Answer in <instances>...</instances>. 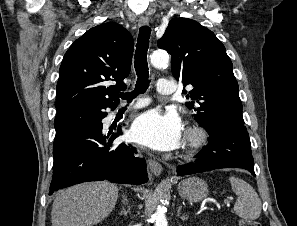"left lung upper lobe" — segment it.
Masks as SVG:
<instances>
[{"label": "left lung upper lobe", "mask_w": 297, "mask_h": 226, "mask_svg": "<svg viewBox=\"0 0 297 226\" xmlns=\"http://www.w3.org/2000/svg\"><path fill=\"white\" fill-rule=\"evenodd\" d=\"M157 45L172 55V74L193 89L186 106L205 129L218 123L244 126L233 65L215 34L188 18H174ZM187 93V91H184Z\"/></svg>", "instance_id": "left-lung-upper-lobe-1"}]
</instances>
